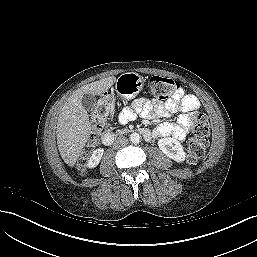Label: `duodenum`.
I'll list each match as a JSON object with an SVG mask.
<instances>
[{"label": "duodenum", "mask_w": 257, "mask_h": 257, "mask_svg": "<svg viewBox=\"0 0 257 257\" xmlns=\"http://www.w3.org/2000/svg\"><path fill=\"white\" fill-rule=\"evenodd\" d=\"M141 133L146 137L149 138L151 133L148 129H141ZM115 134L112 132H105L102 136V142L104 145L109 146L111 145L115 140Z\"/></svg>", "instance_id": "obj_1"}]
</instances>
